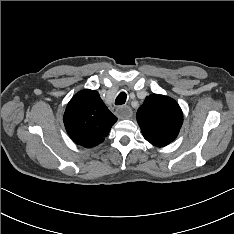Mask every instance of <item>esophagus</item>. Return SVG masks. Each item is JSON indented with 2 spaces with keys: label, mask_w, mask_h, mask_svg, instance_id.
<instances>
[{
  "label": "esophagus",
  "mask_w": 234,
  "mask_h": 234,
  "mask_svg": "<svg viewBox=\"0 0 234 234\" xmlns=\"http://www.w3.org/2000/svg\"><path fill=\"white\" fill-rule=\"evenodd\" d=\"M119 117L128 119L132 116V109L129 106H121L116 109Z\"/></svg>",
  "instance_id": "34e87169"
}]
</instances>
